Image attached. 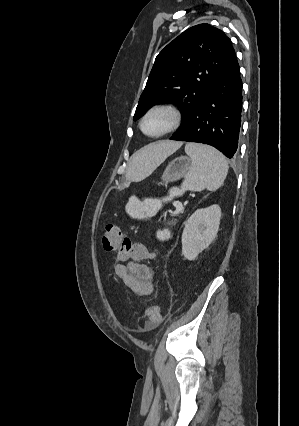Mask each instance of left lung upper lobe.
<instances>
[{
	"instance_id": "5c2ea615",
	"label": "left lung upper lobe",
	"mask_w": 299,
	"mask_h": 426,
	"mask_svg": "<svg viewBox=\"0 0 299 426\" xmlns=\"http://www.w3.org/2000/svg\"><path fill=\"white\" fill-rule=\"evenodd\" d=\"M234 54L220 29L206 23L187 29L156 57L133 119L156 103H176L182 109L180 131Z\"/></svg>"
}]
</instances>
